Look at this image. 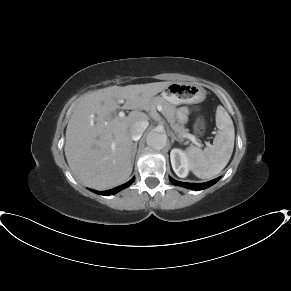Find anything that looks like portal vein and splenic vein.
Here are the masks:
<instances>
[{"label": "portal vein and splenic vein", "mask_w": 291, "mask_h": 291, "mask_svg": "<svg viewBox=\"0 0 291 291\" xmlns=\"http://www.w3.org/2000/svg\"><path fill=\"white\" fill-rule=\"evenodd\" d=\"M157 110H158L159 112H162V107H161L160 105H158V106H157ZM118 116L122 118V117L125 116V114H124L123 111H120L119 114H118ZM184 137H185V138H188V139L191 140L193 143L198 144V142L196 141V137H195L194 135H192V134H187V135H185Z\"/></svg>", "instance_id": "portal-vein-and-splenic-vein-1"}]
</instances>
